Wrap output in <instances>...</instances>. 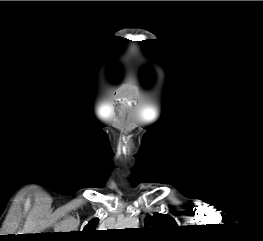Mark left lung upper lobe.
<instances>
[{"mask_svg": "<svg viewBox=\"0 0 263 241\" xmlns=\"http://www.w3.org/2000/svg\"><path fill=\"white\" fill-rule=\"evenodd\" d=\"M145 227L148 230L163 231L175 229L177 223L168 215L154 213V216L147 215L145 217Z\"/></svg>", "mask_w": 263, "mask_h": 241, "instance_id": "obj_1", "label": "left lung upper lobe"}]
</instances>
